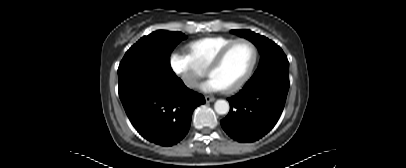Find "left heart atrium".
Wrapping results in <instances>:
<instances>
[{"label":"left heart atrium","instance_id":"left-heart-atrium-1","mask_svg":"<svg viewBox=\"0 0 406 168\" xmlns=\"http://www.w3.org/2000/svg\"><path fill=\"white\" fill-rule=\"evenodd\" d=\"M204 92H217L223 90V87L212 77L200 86Z\"/></svg>","mask_w":406,"mask_h":168}]
</instances>
